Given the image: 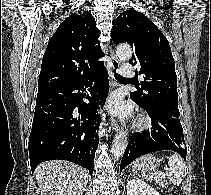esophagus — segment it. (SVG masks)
I'll list each match as a JSON object with an SVG mask.
<instances>
[{"mask_svg":"<svg viewBox=\"0 0 211 195\" xmlns=\"http://www.w3.org/2000/svg\"><path fill=\"white\" fill-rule=\"evenodd\" d=\"M110 55H111V71L114 72V73L115 72H118L119 71L120 64H119V61L114 56V52L112 50V47H110ZM113 86L114 87L117 86V84H116L115 81L113 82ZM111 126H112V129L114 131H118L120 129L119 124L113 118L111 119Z\"/></svg>","mask_w":211,"mask_h":195,"instance_id":"1","label":"esophagus"}]
</instances>
